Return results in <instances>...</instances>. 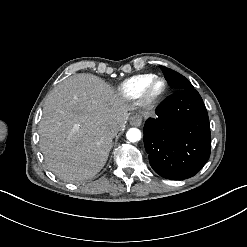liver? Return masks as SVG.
<instances>
[{"label": "liver", "instance_id": "1", "mask_svg": "<svg viewBox=\"0 0 247 247\" xmlns=\"http://www.w3.org/2000/svg\"><path fill=\"white\" fill-rule=\"evenodd\" d=\"M134 109L95 75L64 79L45 101L39 123L40 149L49 170L67 182L94 177L113 146L109 128L124 129Z\"/></svg>", "mask_w": 247, "mask_h": 247}]
</instances>
